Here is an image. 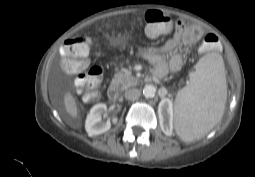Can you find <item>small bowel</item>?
<instances>
[{
  "instance_id": "small-bowel-1",
  "label": "small bowel",
  "mask_w": 255,
  "mask_h": 177,
  "mask_svg": "<svg viewBox=\"0 0 255 177\" xmlns=\"http://www.w3.org/2000/svg\"><path fill=\"white\" fill-rule=\"evenodd\" d=\"M203 31L198 26H186L178 23L172 36L160 47H148L139 51L140 55L155 67V74L163 77L168 71L179 72L183 67V56L177 50L181 45H189L201 39ZM216 46V43L214 44ZM170 53L169 60L164 54Z\"/></svg>"
}]
</instances>
